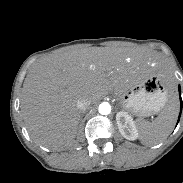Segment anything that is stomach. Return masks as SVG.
<instances>
[{"mask_svg":"<svg viewBox=\"0 0 183 183\" xmlns=\"http://www.w3.org/2000/svg\"><path fill=\"white\" fill-rule=\"evenodd\" d=\"M123 107L138 116L158 113L168 101V89L153 64L140 67L120 94Z\"/></svg>","mask_w":183,"mask_h":183,"instance_id":"0dacf381","label":"stomach"}]
</instances>
